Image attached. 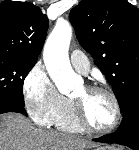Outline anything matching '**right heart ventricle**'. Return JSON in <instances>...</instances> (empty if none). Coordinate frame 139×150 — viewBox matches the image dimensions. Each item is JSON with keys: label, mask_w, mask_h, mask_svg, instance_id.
<instances>
[{"label": "right heart ventricle", "mask_w": 139, "mask_h": 150, "mask_svg": "<svg viewBox=\"0 0 139 150\" xmlns=\"http://www.w3.org/2000/svg\"><path fill=\"white\" fill-rule=\"evenodd\" d=\"M51 125H54L61 131L71 133H79L83 131L75 119L72 101L67 98H64L63 106L55 115Z\"/></svg>", "instance_id": "right-heart-ventricle-1"}]
</instances>
